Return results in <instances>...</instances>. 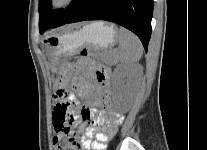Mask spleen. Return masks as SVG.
I'll use <instances>...</instances> for the list:
<instances>
[{
	"label": "spleen",
	"mask_w": 207,
	"mask_h": 150,
	"mask_svg": "<svg viewBox=\"0 0 207 150\" xmlns=\"http://www.w3.org/2000/svg\"><path fill=\"white\" fill-rule=\"evenodd\" d=\"M119 50L117 59L124 64L138 62L143 54V46L137 36L125 28L118 30Z\"/></svg>",
	"instance_id": "obj_1"
}]
</instances>
